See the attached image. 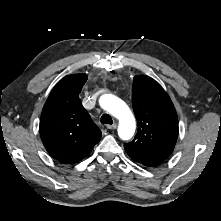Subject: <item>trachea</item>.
Here are the masks:
<instances>
[{
	"instance_id": "3493384b",
	"label": "trachea",
	"mask_w": 221,
	"mask_h": 221,
	"mask_svg": "<svg viewBox=\"0 0 221 221\" xmlns=\"http://www.w3.org/2000/svg\"><path fill=\"white\" fill-rule=\"evenodd\" d=\"M100 122H101L102 124H110V125H111V124L113 123V120H112V118H111L110 115H108V114H103V115L101 116Z\"/></svg>"
}]
</instances>
